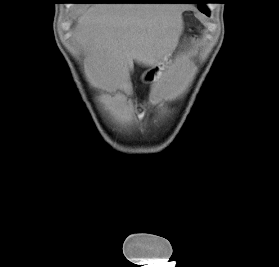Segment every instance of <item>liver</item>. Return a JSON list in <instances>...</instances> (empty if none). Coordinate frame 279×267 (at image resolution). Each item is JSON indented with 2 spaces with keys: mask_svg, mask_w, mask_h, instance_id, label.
Listing matches in <instances>:
<instances>
[{
  "mask_svg": "<svg viewBox=\"0 0 279 267\" xmlns=\"http://www.w3.org/2000/svg\"><path fill=\"white\" fill-rule=\"evenodd\" d=\"M181 14V7L169 4L93 5L81 11L75 38L96 79L115 90L127 83L134 61L153 67L175 50Z\"/></svg>",
  "mask_w": 279,
  "mask_h": 267,
  "instance_id": "liver-1",
  "label": "liver"
}]
</instances>
